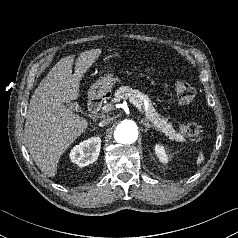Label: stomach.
<instances>
[{
    "label": "stomach",
    "instance_id": "obj_1",
    "mask_svg": "<svg viewBox=\"0 0 238 238\" xmlns=\"http://www.w3.org/2000/svg\"><path fill=\"white\" fill-rule=\"evenodd\" d=\"M116 83V78L112 73L101 77L89 89L91 97H101L109 93Z\"/></svg>",
    "mask_w": 238,
    "mask_h": 238
}]
</instances>
